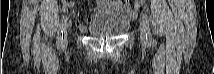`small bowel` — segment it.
Listing matches in <instances>:
<instances>
[{
	"mask_svg": "<svg viewBox=\"0 0 214 74\" xmlns=\"http://www.w3.org/2000/svg\"><path fill=\"white\" fill-rule=\"evenodd\" d=\"M67 7V5H66ZM122 8L123 11L131 18H135L138 15V9H139V5H136L134 8H132L130 6L129 3H124L121 4L118 1H104V0H100L97 2V7L95 10H107L110 8ZM92 8H89V11H95ZM73 16L75 17V23L76 26L79 28V30L86 32L87 31V26L85 24V22L83 21V19L81 18V14L79 11L74 10L73 11ZM95 17L91 16L87 19L88 23H92L94 21Z\"/></svg>",
	"mask_w": 214,
	"mask_h": 74,
	"instance_id": "c3829d8e",
	"label": "small bowel"
}]
</instances>
